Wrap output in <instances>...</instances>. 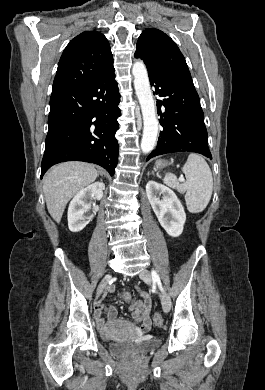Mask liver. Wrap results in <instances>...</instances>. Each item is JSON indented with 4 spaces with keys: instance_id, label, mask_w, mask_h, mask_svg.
<instances>
[{
    "instance_id": "6515ba94",
    "label": "liver",
    "mask_w": 265,
    "mask_h": 390,
    "mask_svg": "<svg viewBox=\"0 0 265 390\" xmlns=\"http://www.w3.org/2000/svg\"><path fill=\"white\" fill-rule=\"evenodd\" d=\"M98 172L91 164L65 162L52 167L44 177L43 192L48 212L60 222L68 201L93 183Z\"/></svg>"
}]
</instances>
